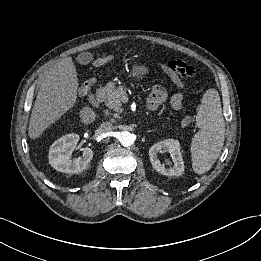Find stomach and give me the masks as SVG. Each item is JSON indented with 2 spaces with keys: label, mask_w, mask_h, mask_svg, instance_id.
Returning a JSON list of instances; mask_svg holds the SVG:
<instances>
[{
  "label": "stomach",
  "mask_w": 261,
  "mask_h": 261,
  "mask_svg": "<svg viewBox=\"0 0 261 261\" xmlns=\"http://www.w3.org/2000/svg\"><path fill=\"white\" fill-rule=\"evenodd\" d=\"M149 72H150V70L147 66L136 65V66H133V68L131 70V76L139 78V77H142V76L148 74Z\"/></svg>",
  "instance_id": "obj_1"
}]
</instances>
